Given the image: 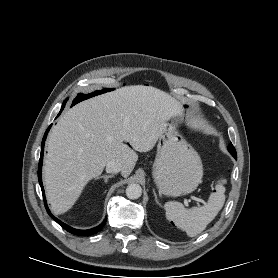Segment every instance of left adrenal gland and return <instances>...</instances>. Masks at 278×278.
I'll use <instances>...</instances> for the list:
<instances>
[{
	"mask_svg": "<svg viewBox=\"0 0 278 278\" xmlns=\"http://www.w3.org/2000/svg\"><path fill=\"white\" fill-rule=\"evenodd\" d=\"M153 193H154V196H155V201H156V203L160 205V203H159V201H158V199H157L156 192H155V190H154V189H153Z\"/></svg>",
	"mask_w": 278,
	"mask_h": 278,
	"instance_id": "a2214340",
	"label": "left adrenal gland"
}]
</instances>
